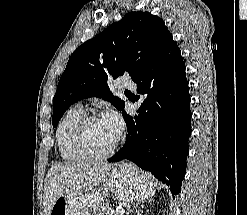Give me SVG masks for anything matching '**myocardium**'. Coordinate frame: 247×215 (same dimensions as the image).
<instances>
[{"instance_id":"obj_1","label":"myocardium","mask_w":247,"mask_h":215,"mask_svg":"<svg viewBox=\"0 0 247 215\" xmlns=\"http://www.w3.org/2000/svg\"><path fill=\"white\" fill-rule=\"evenodd\" d=\"M98 119H101V116L98 113L92 112L83 114L73 128L72 139L74 147L76 151L86 160L97 161L107 159L116 151L120 143V138L118 137L106 151L95 152L89 148L85 137V129L90 122Z\"/></svg>"}]
</instances>
